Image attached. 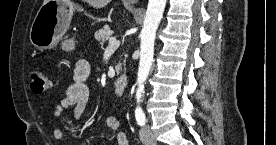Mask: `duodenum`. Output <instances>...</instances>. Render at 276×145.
Returning a JSON list of instances; mask_svg holds the SVG:
<instances>
[{
    "label": "duodenum",
    "mask_w": 276,
    "mask_h": 145,
    "mask_svg": "<svg viewBox=\"0 0 276 145\" xmlns=\"http://www.w3.org/2000/svg\"><path fill=\"white\" fill-rule=\"evenodd\" d=\"M128 87V79L125 75L119 76L114 84V92L116 95H123Z\"/></svg>",
    "instance_id": "obj_1"
}]
</instances>
